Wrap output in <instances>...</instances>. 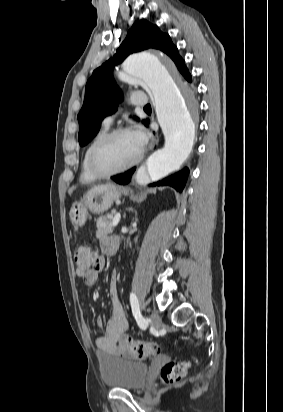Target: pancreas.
<instances>
[{"instance_id":"pancreas-1","label":"pancreas","mask_w":283,"mask_h":412,"mask_svg":"<svg viewBox=\"0 0 283 412\" xmlns=\"http://www.w3.org/2000/svg\"><path fill=\"white\" fill-rule=\"evenodd\" d=\"M96 226H97V231H96L97 238H101L113 232V228L111 226V222L109 218H106V217L98 218Z\"/></svg>"}]
</instances>
